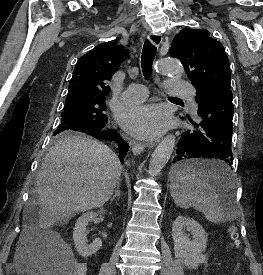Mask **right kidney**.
Returning a JSON list of instances; mask_svg holds the SVG:
<instances>
[{"mask_svg":"<svg viewBox=\"0 0 263 275\" xmlns=\"http://www.w3.org/2000/svg\"><path fill=\"white\" fill-rule=\"evenodd\" d=\"M105 213V210L96 212H87L80 216L75 224L73 231V240L78 253L82 257H89L96 253L102 246V241L96 238L91 244H86L85 232L89 222L94 221L99 214Z\"/></svg>","mask_w":263,"mask_h":275,"instance_id":"1","label":"right kidney"}]
</instances>
